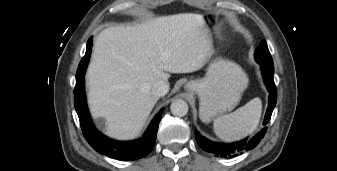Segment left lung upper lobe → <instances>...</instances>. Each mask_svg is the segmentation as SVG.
I'll return each instance as SVG.
<instances>
[{
	"instance_id": "obj_1",
	"label": "left lung upper lobe",
	"mask_w": 337,
	"mask_h": 171,
	"mask_svg": "<svg viewBox=\"0 0 337 171\" xmlns=\"http://www.w3.org/2000/svg\"><path fill=\"white\" fill-rule=\"evenodd\" d=\"M254 57L258 63H263L266 65L273 66V61H272L270 52L268 50L267 43L265 41H262V43L256 49L254 53Z\"/></svg>"
}]
</instances>
